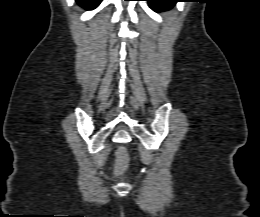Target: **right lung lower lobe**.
Masks as SVG:
<instances>
[{"label":"right lung lower lobe","mask_w":260,"mask_h":217,"mask_svg":"<svg viewBox=\"0 0 260 217\" xmlns=\"http://www.w3.org/2000/svg\"><path fill=\"white\" fill-rule=\"evenodd\" d=\"M77 3L86 8L87 10H92L94 8H96L102 0H76Z\"/></svg>","instance_id":"right-lung-lower-lobe-1"}]
</instances>
